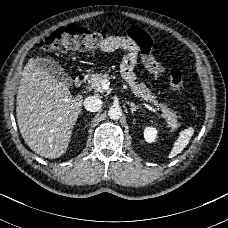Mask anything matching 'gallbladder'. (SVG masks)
Wrapping results in <instances>:
<instances>
[{"mask_svg":"<svg viewBox=\"0 0 228 228\" xmlns=\"http://www.w3.org/2000/svg\"><path fill=\"white\" fill-rule=\"evenodd\" d=\"M38 65L52 72L65 85L71 86L73 78L66 72L65 68L52 56L41 55L38 59Z\"/></svg>","mask_w":228,"mask_h":228,"instance_id":"1","label":"gallbladder"}]
</instances>
